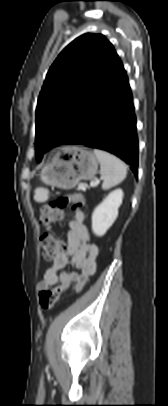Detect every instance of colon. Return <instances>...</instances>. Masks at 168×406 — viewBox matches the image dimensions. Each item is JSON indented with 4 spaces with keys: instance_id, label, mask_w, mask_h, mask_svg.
<instances>
[{
    "instance_id": "1",
    "label": "colon",
    "mask_w": 168,
    "mask_h": 406,
    "mask_svg": "<svg viewBox=\"0 0 168 406\" xmlns=\"http://www.w3.org/2000/svg\"><path fill=\"white\" fill-rule=\"evenodd\" d=\"M84 198L80 194L63 195L44 205L40 210V222L51 225L63 217V209L69 206L75 208L82 206ZM43 256L47 260L54 259L60 252L59 241L52 235L46 234L41 238ZM61 298V294L51 290H42L39 293V304L43 310H51Z\"/></svg>"
}]
</instances>
